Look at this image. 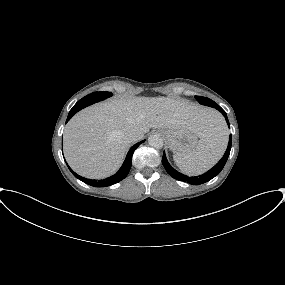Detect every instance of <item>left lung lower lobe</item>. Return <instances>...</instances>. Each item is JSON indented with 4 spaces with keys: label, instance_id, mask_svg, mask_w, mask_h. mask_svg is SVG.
<instances>
[{
    "label": "left lung lower lobe",
    "instance_id": "left-lung-lower-lobe-1",
    "mask_svg": "<svg viewBox=\"0 0 285 285\" xmlns=\"http://www.w3.org/2000/svg\"><path fill=\"white\" fill-rule=\"evenodd\" d=\"M216 109L219 110L223 114V116L226 119L228 126L230 127L226 112L220 106H217ZM230 150H231V136L229 139V143H228V147L226 149V152H225L224 156L221 158V160L212 169H210L209 171H207L206 173H204L200 176L189 177V176H186V175L176 171L169 164V162L166 158L165 152L163 153L162 164H163L164 168L166 169V171L169 173V175L171 177H173L174 179L180 180L183 182H187V183L192 184V185H200V184L208 182L209 180H211L212 178H214L215 176H217L221 172V170L225 166L226 161L229 157Z\"/></svg>",
    "mask_w": 285,
    "mask_h": 285
}]
</instances>
